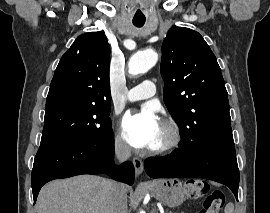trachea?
Here are the masks:
<instances>
[{"label":"trachea","mask_w":270,"mask_h":213,"mask_svg":"<svg viewBox=\"0 0 270 213\" xmlns=\"http://www.w3.org/2000/svg\"><path fill=\"white\" fill-rule=\"evenodd\" d=\"M133 24L136 27H142L145 24V19H133Z\"/></svg>","instance_id":"trachea-1"}]
</instances>
